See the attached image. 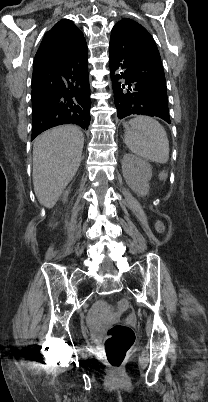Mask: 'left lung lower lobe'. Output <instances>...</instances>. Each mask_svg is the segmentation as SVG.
<instances>
[{
    "label": "left lung lower lobe",
    "mask_w": 208,
    "mask_h": 402,
    "mask_svg": "<svg viewBox=\"0 0 208 402\" xmlns=\"http://www.w3.org/2000/svg\"><path fill=\"white\" fill-rule=\"evenodd\" d=\"M148 32L137 34L127 25L116 24L111 33L110 76L117 117L156 116L170 123L166 85L138 69L139 42Z\"/></svg>",
    "instance_id": "left-lung-lower-lobe-1"
}]
</instances>
